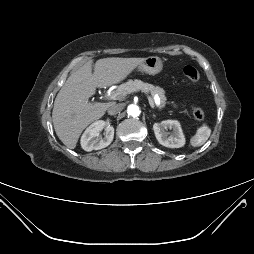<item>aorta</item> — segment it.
Here are the masks:
<instances>
[{
	"instance_id": "obj_1",
	"label": "aorta",
	"mask_w": 254,
	"mask_h": 254,
	"mask_svg": "<svg viewBox=\"0 0 254 254\" xmlns=\"http://www.w3.org/2000/svg\"><path fill=\"white\" fill-rule=\"evenodd\" d=\"M127 112H128V115H130L132 117H136V116H139L140 109L137 105L132 104V105L128 106Z\"/></svg>"
}]
</instances>
